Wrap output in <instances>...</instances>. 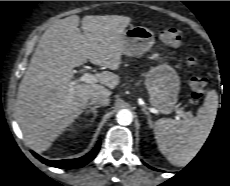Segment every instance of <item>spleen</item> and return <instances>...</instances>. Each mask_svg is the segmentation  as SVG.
Instances as JSON below:
<instances>
[{
    "label": "spleen",
    "instance_id": "obj_1",
    "mask_svg": "<svg viewBox=\"0 0 230 186\" xmlns=\"http://www.w3.org/2000/svg\"><path fill=\"white\" fill-rule=\"evenodd\" d=\"M218 94L210 90L195 117L181 121L163 118L153 125L160 152L175 166H186L200 151L214 125Z\"/></svg>",
    "mask_w": 230,
    "mask_h": 186
}]
</instances>
